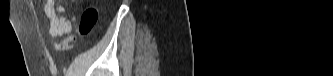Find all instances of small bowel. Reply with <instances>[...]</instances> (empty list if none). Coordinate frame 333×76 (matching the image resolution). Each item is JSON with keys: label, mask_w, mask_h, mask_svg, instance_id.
Returning <instances> with one entry per match:
<instances>
[{"label": "small bowel", "mask_w": 333, "mask_h": 76, "mask_svg": "<svg viewBox=\"0 0 333 76\" xmlns=\"http://www.w3.org/2000/svg\"><path fill=\"white\" fill-rule=\"evenodd\" d=\"M44 10L49 20V33L52 38L71 32L72 24L65 16L64 7L58 1L47 0Z\"/></svg>", "instance_id": "obj_1"}]
</instances>
